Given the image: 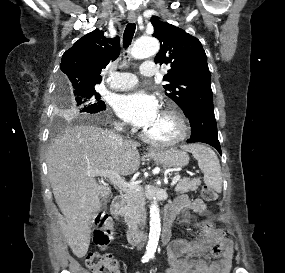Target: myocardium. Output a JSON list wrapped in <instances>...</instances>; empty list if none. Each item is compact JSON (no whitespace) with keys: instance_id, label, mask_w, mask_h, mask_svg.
<instances>
[{"instance_id":"1","label":"myocardium","mask_w":285,"mask_h":273,"mask_svg":"<svg viewBox=\"0 0 285 273\" xmlns=\"http://www.w3.org/2000/svg\"><path fill=\"white\" fill-rule=\"evenodd\" d=\"M161 113L163 115L172 117L176 121L178 126V133L171 139L157 140L150 137L143 131L141 133L142 139L149 144L161 147L174 146L183 142L190 133V124L185 114L175 106L166 107Z\"/></svg>"}]
</instances>
